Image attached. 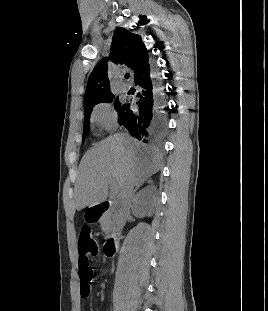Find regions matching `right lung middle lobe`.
Returning <instances> with one entry per match:
<instances>
[{"label": "right lung middle lobe", "mask_w": 268, "mask_h": 311, "mask_svg": "<svg viewBox=\"0 0 268 311\" xmlns=\"http://www.w3.org/2000/svg\"><path fill=\"white\" fill-rule=\"evenodd\" d=\"M114 98H115V96L112 94V95L106 97L105 99L101 100L99 103H101V102H112ZM114 106H115V109L117 110V112L120 110V108L122 106L118 97L114 101ZM91 111H92V109H90L84 113L83 138L90 131V114H91Z\"/></svg>", "instance_id": "right-lung-middle-lobe-1"}]
</instances>
